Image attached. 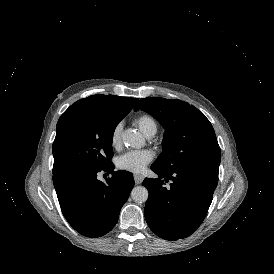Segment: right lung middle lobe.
<instances>
[{
  "label": "right lung middle lobe",
  "mask_w": 274,
  "mask_h": 274,
  "mask_svg": "<svg viewBox=\"0 0 274 274\" xmlns=\"http://www.w3.org/2000/svg\"><path fill=\"white\" fill-rule=\"evenodd\" d=\"M119 105L81 108L62 115L53 143V173L79 167L112 165V140L118 123L130 112Z\"/></svg>",
  "instance_id": "right-lung-middle-lobe-1"
}]
</instances>
